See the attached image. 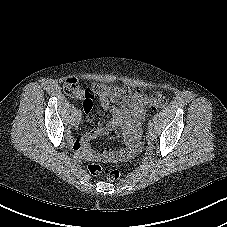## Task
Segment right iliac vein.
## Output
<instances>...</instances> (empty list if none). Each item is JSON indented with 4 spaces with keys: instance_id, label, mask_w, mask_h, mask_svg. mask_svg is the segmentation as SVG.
Returning a JSON list of instances; mask_svg holds the SVG:
<instances>
[{
    "instance_id": "1",
    "label": "right iliac vein",
    "mask_w": 227,
    "mask_h": 227,
    "mask_svg": "<svg viewBox=\"0 0 227 227\" xmlns=\"http://www.w3.org/2000/svg\"><path fill=\"white\" fill-rule=\"evenodd\" d=\"M80 120H81V117L79 116V115H77L74 119H73V121H72V126L73 127H77L78 125H79V123H80Z\"/></svg>"
}]
</instances>
